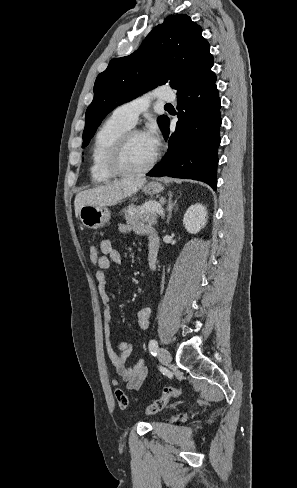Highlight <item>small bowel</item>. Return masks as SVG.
<instances>
[{
	"instance_id": "obj_1",
	"label": "small bowel",
	"mask_w": 297,
	"mask_h": 488,
	"mask_svg": "<svg viewBox=\"0 0 297 488\" xmlns=\"http://www.w3.org/2000/svg\"><path fill=\"white\" fill-rule=\"evenodd\" d=\"M118 228L123 234L134 232L144 238L148 248V265L150 270L154 272L159 247L158 234L151 227L145 225L131 227L127 224H120ZM99 250L101 256L97 263L98 270L96 271L95 277L103 306L106 350L117 374L125 382L127 389L138 390L145 381L147 374L144 360L138 359L133 364H129L128 359L132 353L133 345L128 342L114 343L111 338V299L107 291L108 277L106 270L111 267L112 263H121L122 256L120 251L114 247L109 239L100 241ZM151 315L152 309L150 307H144L138 311L137 322L141 329H147L149 327ZM117 384L118 381H113V385Z\"/></svg>"
}]
</instances>
